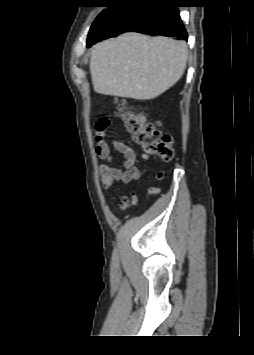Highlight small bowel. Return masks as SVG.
Here are the masks:
<instances>
[{
	"label": "small bowel",
	"mask_w": 254,
	"mask_h": 355,
	"mask_svg": "<svg viewBox=\"0 0 254 355\" xmlns=\"http://www.w3.org/2000/svg\"><path fill=\"white\" fill-rule=\"evenodd\" d=\"M107 121V127L110 122ZM96 128V154L101 161L106 163H100L99 174L100 182L104 191H108L115 183L127 184L132 181H137L140 178V170L135 166L136 153L135 151L118 139L107 140L105 136V130L107 129ZM110 145L123 155L124 161L122 163V168L115 167L111 165L113 158L111 155ZM144 160H148L146 155L143 156ZM164 178L163 172H157L153 179L155 181H161ZM159 191V188L151 187L148 190L149 194H154ZM136 202V193L131 192L130 195H123L119 200V207L121 209H126L130 203Z\"/></svg>",
	"instance_id": "small-bowel-1"
}]
</instances>
